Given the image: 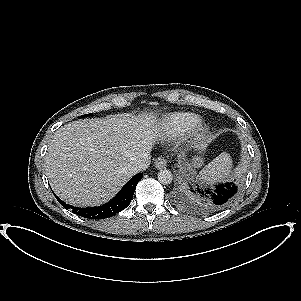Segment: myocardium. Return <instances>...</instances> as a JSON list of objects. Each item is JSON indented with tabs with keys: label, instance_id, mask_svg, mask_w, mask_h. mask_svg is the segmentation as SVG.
<instances>
[{
	"label": "myocardium",
	"instance_id": "obj_1",
	"mask_svg": "<svg viewBox=\"0 0 301 301\" xmlns=\"http://www.w3.org/2000/svg\"><path fill=\"white\" fill-rule=\"evenodd\" d=\"M211 132V126L204 120H199L189 131V139L192 143L205 140Z\"/></svg>",
	"mask_w": 301,
	"mask_h": 301
}]
</instances>
